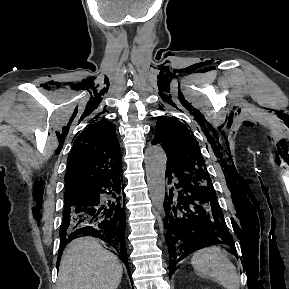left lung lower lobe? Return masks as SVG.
<instances>
[{
  "instance_id": "left-lung-lower-lobe-1",
  "label": "left lung lower lobe",
  "mask_w": 289,
  "mask_h": 289,
  "mask_svg": "<svg viewBox=\"0 0 289 289\" xmlns=\"http://www.w3.org/2000/svg\"><path fill=\"white\" fill-rule=\"evenodd\" d=\"M165 177L170 184L164 200L169 275L175 272L177 262L203 247L226 244L235 249L213 185L168 167Z\"/></svg>"
}]
</instances>
